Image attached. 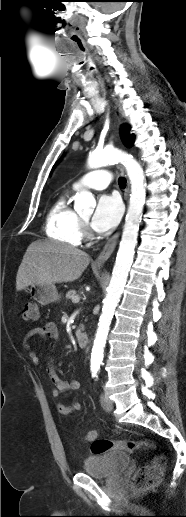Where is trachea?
<instances>
[{"label":"trachea","instance_id":"1","mask_svg":"<svg viewBox=\"0 0 186 517\" xmlns=\"http://www.w3.org/2000/svg\"><path fill=\"white\" fill-rule=\"evenodd\" d=\"M118 184H119V186H120L121 188H125V186H126V179H124V178H122V177H121V178H119V180H118Z\"/></svg>","mask_w":186,"mask_h":517}]
</instances>
